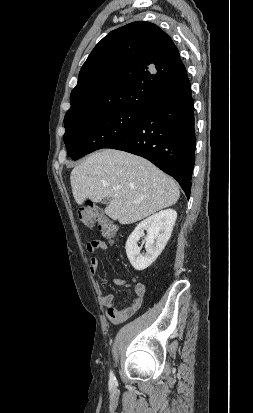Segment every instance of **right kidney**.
Here are the masks:
<instances>
[{"instance_id": "ca27d5eb", "label": "right kidney", "mask_w": 253, "mask_h": 413, "mask_svg": "<svg viewBox=\"0 0 253 413\" xmlns=\"http://www.w3.org/2000/svg\"><path fill=\"white\" fill-rule=\"evenodd\" d=\"M177 218L173 209L162 210L137 225L126 242V254L135 270L141 271L149 267L165 248ZM147 231L145 249L141 254V247L137 245L140 238Z\"/></svg>"}]
</instances>
